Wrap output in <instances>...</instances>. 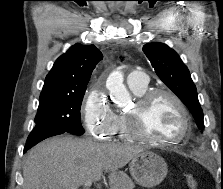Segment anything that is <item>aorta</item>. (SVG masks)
Returning <instances> with one entry per match:
<instances>
[{"mask_svg":"<svg viewBox=\"0 0 223 189\" xmlns=\"http://www.w3.org/2000/svg\"><path fill=\"white\" fill-rule=\"evenodd\" d=\"M124 75L122 71L115 70L107 78L106 87L110 92L113 102L119 108H126L131 103V96L123 84Z\"/></svg>","mask_w":223,"mask_h":189,"instance_id":"aorta-1","label":"aorta"}]
</instances>
